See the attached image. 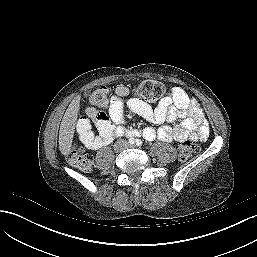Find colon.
<instances>
[{"label":"colon","instance_id":"1","mask_svg":"<svg viewBox=\"0 0 257 257\" xmlns=\"http://www.w3.org/2000/svg\"><path fill=\"white\" fill-rule=\"evenodd\" d=\"M136 94L143 100L153 102L160 99L164 94V86L157 81L146 80L138 83L135 87ZM110 99V90L101 86L98 87L89 98L90 107L87 110V114L92 119L96 117L97 109L105 108ZM198 150L197 144L191 141H185L180 147V159H189ZM69 163L79 169L87 170L91 166L90 156L82 149L73 147L68 155Z\"/></svg>","mask_w":257,"mask_h":257}]
</instances>
